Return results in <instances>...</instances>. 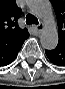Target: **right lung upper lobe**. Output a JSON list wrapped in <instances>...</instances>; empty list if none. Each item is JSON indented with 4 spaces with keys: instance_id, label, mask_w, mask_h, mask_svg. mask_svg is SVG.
<instances>
[{
    "instance_id": "cb5924a9",
    "label": "right lung upper lobe",
    "mask_w": 65,
    "mask_h": 89,
    "mask_svg": "<svg viewBox=\"0 0 65 89\" xmlns=\"http://www.w3.org/2000/svg\"><path fill=\"white\" fill-rule=\"evenodd\" d=\"M21 9L15 0H0V48L11 47L29 37L27 29H21L17 20Z\"/></svg>"
}]
</instances>
